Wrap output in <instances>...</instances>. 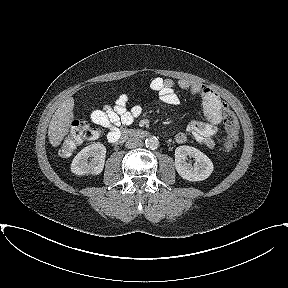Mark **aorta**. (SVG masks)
<instances>
[{
    "label": "aorta",
    "mask_w": 288,
    "mask_h": 288,
    "mask_svg": "<svg viewBox=\"0 0 288 288\" xmlns=\"http://www.w3.org/2000/svg\"><path fill=\"white\" fill-rule=\"evenodd\" d=\"M145 145L149 149H157L159 147V140L155 136H150L145 140Z\"/></svg>",
    "instance_id": "obj_1"
}]
</instances>
